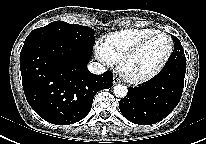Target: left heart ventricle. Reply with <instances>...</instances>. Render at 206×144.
Here are the masks:
<instances>
[{
    "label": "left heart ventricle",
    "mask_w": 206,
    "mask_h": 144,
    "mask_svg": "<svg viewBox=\"0 0 206 144\" xmlns=\"http://www.w3.org/2000/svg\"><path fill=\"white\" fill-rule=\"evenodd\" d=\"M169 50V41L165 36L151 38L141 51L129 62L128 71L142 75L153 71L165 59Z\"/></svg>",
    "instance_id": "left-heart-ventricle-1"
}]
</instances>
